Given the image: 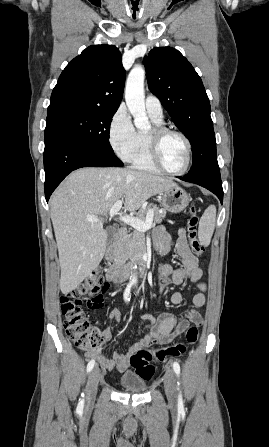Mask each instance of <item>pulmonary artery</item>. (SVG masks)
<instances>
[{
  "instance_id": "pulmonary-artery-1",
  "label": "pulmonary artery",
  "mask_w": 269,
  "mask_h": 447,
  "mask_svg": "<svg viewBox=\"0 0 269 447\" xmlns=\"http://www.w3.org/2000/svg\"><path fill=\"white\" fill-rule=\"evenodd\" d=\"M146 111L155 119H163V107L158 97L149 94L145 99Z\"/></svg>"
}]
</instances>
